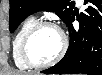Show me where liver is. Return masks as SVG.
<instances>
[{
    "instance_id": "obj_1",
    "label": "liver",
    "mask_w": 102,
    "mask_h": 75,
    "mask_svg": "<svg viewBox=\"0 0 102 75\" xmlns=\"http://www.w3.org/2000/svg\"><path fill=\"white\" fill-rule=\"evenodd\" d=\"M8 75H26V74L23 72H9Z\"/></svg>"
}]
</instances>
